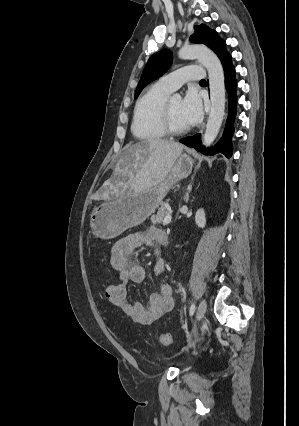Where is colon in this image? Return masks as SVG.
Returning a JSON list of instances; mask_svg holds the SVG:
<instances>
[{
  "label": "colon",
  "mask_w": 299,
  "mask_h": 426,
  "mask_svg": "<svg viewBox=\"0 0 299 426\" xmlns=\"http://www.w3.org/2000/svg\"><path fill=\"white\" fill-rule=\"evenodd\" d=\"M127 289L121 283L108 282L104 289V298L115 308L121 309L126 302ZM157 341L163 346H169L173 343V338L170 334H159Z\"/></svg>",
  "instance_id": "obj_1"
}]
</instances>
